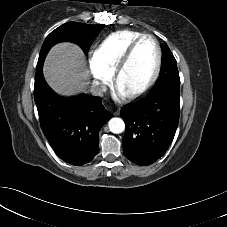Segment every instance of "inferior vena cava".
I'll return each instance as SVG.
<instances>
[{
    "label": "inferior vena cava",
    "instance_id": "inferior-vena-cava-1",
    "mask_svg": "<svg viewBox=\"0 0 227 227\" xmlns=\"http://www.w3.org/2000/svg\"><path fill=\"white\" fill-rule=\"evenodd\" d=\"M90 91L93 96H103V93L106 91V86L99 83V82H93Z\"/></svg>",
    "mask_w": 227,
    "mask_h": 227
}]
</instances>
